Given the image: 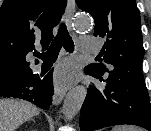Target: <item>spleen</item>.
I'll list each match as a JSON object with an SVG mask.
<instances>
[{"instance_id": "1", "label": "spleen", "mask_w": 151, "mask_h": 131, "mask_svg": "<svg viewBox=\"0 0 151 131\" xmlns=\"http://www.w3.org/2000/svg\"><path fill=\"white\" fill-rule=\"evenodd\" d=\"M112 131H141V130L134 126L123 125V126H115L112 129Z\"/></svg>"}]
</instances>
